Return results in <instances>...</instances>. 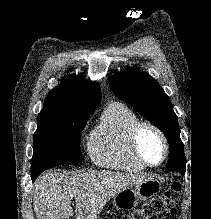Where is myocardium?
Segmentation results:
<instances>
[{
    "mask_svg": "<svg viewBox=\"0 0 211 219\" xmlns=\"http://www.w3.org/2000/svg\"><path fill=\"white\" fill-rule=\"evenodd\" d=\"M151 129L153 130L161 139L163 144V155L161 160L156 164H151L145 160L143 157L140 147H139V141H140V135L144 129ZM130 144H131V150L134 155V157L139 161L145 168H156L165 163L167 160L168 154H169V143L167 140V137L165 133L154 123L150 121H140L138 122L131 133L130 137Z\"/></svg>",
    "mask_w": 211,
    "mask_h": 219,
    "instance_id": "f54148a6",
    "label": "myocardium"
}]
</instances>
